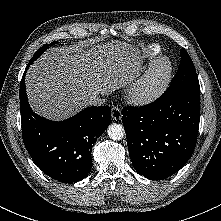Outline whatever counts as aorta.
<instances>
[{
  "label": "aorta",
  "mask_w": 221,
  "mask_h": 221,
  "mask_svg": "<svg viewBox=\"0 0 221 221\" xmlns=\"http://www.w3.org/2000/svg\"><path fill=\"white\" fill-rule=\"evenodd\" d=\"M107 135L110 139L119 141L123 139L125 135V130L122 125L113 123L107 128Z\"/></svg>",
  "instance_id": "obj_1"
}]
</instances>
